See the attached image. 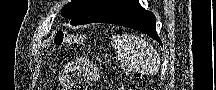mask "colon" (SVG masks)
I'll return each instance as SVG.
<instances>
[{
    "label": "colon",
    "instance_id": "obj_1",
    "mask_svg": "<svg viewBox=\"0 0 216 90\" xmlns=\"http://www.w3.org/2000/svg\"><path fill=\"white\" fill-rule=\"evenodd\" d=\"M79 38L75 35L69 34L65 31H59L55 36V43L62 46H71L76 44Z\"/></svg>",
    "mask_w": 216,
    "mask_h": 90
}]
</instances>
